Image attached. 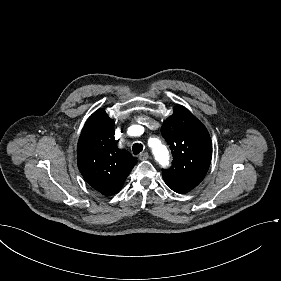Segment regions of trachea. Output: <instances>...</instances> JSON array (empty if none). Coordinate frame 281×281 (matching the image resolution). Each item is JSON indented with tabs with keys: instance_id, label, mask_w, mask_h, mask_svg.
<instances>
[{
	"instance_id": "3493384b",
	"label": "trachea",
	"mask_w": 281,
	"mask_h": 281,
	"mask_svg": "<svg viewBox=\"0 0 281 281\" xmlns=\"http://www.w3.org/2000/svg\"><path fill=\"white\" fill-rule=\"evenodd\" d=\"M132 150H133L134 155H138L140 152H142L143 145L141 143H135L132 146Z\"/></svg>"
}]
</instances>
